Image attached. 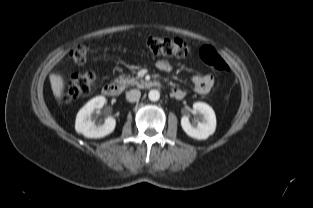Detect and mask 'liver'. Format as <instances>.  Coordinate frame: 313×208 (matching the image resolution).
Returning a JSON list of instances; mask_svg holds the SVG:
<instances>
[{"instance_id":"1","label":"liver","mask_w":313,"mask_h":208,"mask_svg":"<svg viewBox=\"0 0 313 208\" xmlns=\"http://www.w3.org/2000/svg\"><path fill=\"white\" fill-rule=\"evenodd\" d=\"M50 83L55 98L60 100L63 96L65 86L63 77L59 74L52 73L50 75Z\"/></svg>"}]
</instances>
